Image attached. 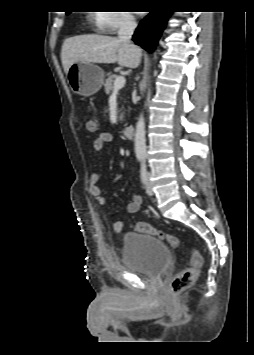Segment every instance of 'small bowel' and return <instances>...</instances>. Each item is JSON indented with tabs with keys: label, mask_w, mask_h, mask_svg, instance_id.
<instances>
[{
	"label": "small bowel",
	"mask_w": 254,
	"mask_h": 355,
	"mask_svg": "<svg viewBox=\"0 0 254 355\" xmlns=\"http://www.w3.org/2000/svg\"><path fill=\"white\" fill-rule=\"evenodd\" d=\"M113 141V135L110 133H101L93 142L92 148L95 153L101 152L106 144ZM99 180V175L97 173H92L89 178V191L90 194L101 204H106V199L103 196L99 186L97 185ZM143 199L142 197L137 194L133 193L131 195V200L128 202L126 206V210L129 214H134L139 211L141 208ZM111 228L113 231L119 233L124 228V223L119 220H114L111 222Z\"/></svg>",
	"instance_id": "obj_1"
}]
</instances>
